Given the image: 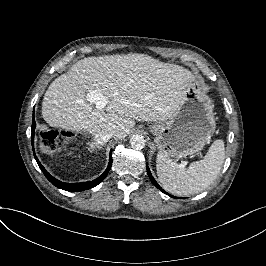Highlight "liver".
Segmentation results:
<instances>
[{
  "label": "liver",
  "mask_w": 266,
  "mask_h": 266,
  "mask_svg": "<svg viewBox=\"0 0 266 266\" xmlns=\"http://www.w3.org/2000/svg\"><path fill=\"white\" fill-rule=\"evenodd\" d=\"M196 87L187 69L146 55L88 57L52 81L43 96L42 118L53 128L90 134L108 130L122 140L131 133L134 120L170 119L189 89ZM93 90L107 100L105 107L99 109L86 99Z\"/></svg>",
  "instance_id": "1"
}]
</instances>
